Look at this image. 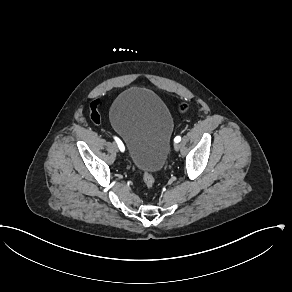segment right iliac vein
<instances>
[{
	"mask_svg": "<svg viewBox=\"0 0 292 292\" xmlns=\"http://www.w3.org/2000/svg\"><path fill=\"white\" fill-rule=\"evenodd\" d=\"M112 147H113V149H114L115 151H118V146H117L116 143H113V144H112Z\"/></svg>",
	"mask_w": 292,
	"mask_h": 292,
	"instance_id": "obj_1",
	"label": "right iliac vein"
}]
</instances>
